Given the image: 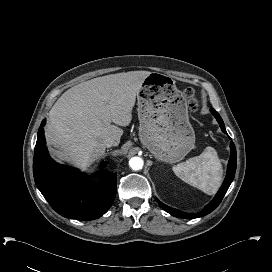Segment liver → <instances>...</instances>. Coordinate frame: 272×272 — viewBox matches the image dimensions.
<instances>
[{
  "label": "liver",
  "mask_w": 272,
  "mask_h": 272,
  "mask_svg": "<svg viewBox=\"0 0 272 272\" xmlns=\"http://www.w3.org/2000/svg\"><path fill=\"white\" fill-rule=\"evenodd\" d=\"M150 73L106 75L64 92L51 108L46 127L52 156L84 169L103 155L107 138L119 144L123 130L118 126L130 124L136 95Z\"/></svg>",
  "instance_id": "6515ba94"
}]
</instances>
